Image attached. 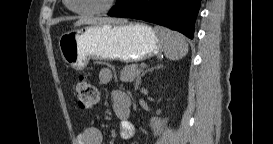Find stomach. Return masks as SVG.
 <instances>
[{
    "label": "stomach",
    "instance_id": "1",
    "mask_svg": "<svg viewBox=\"0 0 273 144\" xmlns=\"http://www.w3.org/2000/svg\"><path fill=\"white\" fill-rule=\"evenodd\" d=\"M59 49L70 67L82 70L90 59L142 61L160 54L164 45L156 30L148 25L104 23L62 34Z\"/></svg>",
    "mask_w": 273,
    "mask_h": 144
}]
</instances>
